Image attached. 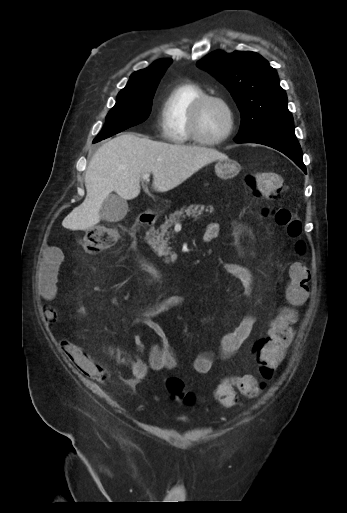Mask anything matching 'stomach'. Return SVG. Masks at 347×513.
<instances>
[{
  "label": "stomach",
  "instance_id": "stomach-1",
  "mask_svg": "<svg viewBox=\"0 0 347 513\" xmlns=\"http://www.w3.org/2000/svg\"><path fill=\"white\" fill-rule=\"evenodd\" d=\"M241 167L240 164L232 159L218 160L215 164V173L219 178L230 179L236 176Z\"/></svg>",
  "mask_w": 347,
  "mask_h": 513
}]
</instances>
